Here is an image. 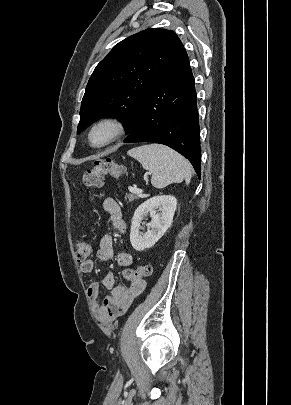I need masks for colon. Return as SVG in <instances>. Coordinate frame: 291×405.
<instances>
[{"label": "colon", "instance_id": "5ec220e1", "mask_svg": "<svg viewBox=\"0 0 291 405\" xmlns=\"http://www.w3.org/2000/svg\"><path fill=\"white\" fill-rule=\"evenodd\" d=\"M126 172L124 165L118 164L111 159L96 161L93 168L85 171L83 183L85 186L98 189L104 183V177L110 175L113 178H120ZM76 258L78 262H85L93 255L94 247L88 239L79 238L75 244ZM151 267L149 265H140L135 269H127L123 272L124 278L133 283L149 276Z\"/></svg>", "mask_w": 291, "mask_h": 405}]
</instances>
